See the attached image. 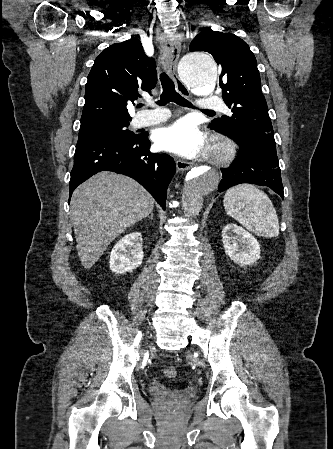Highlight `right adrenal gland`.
I'll return each instance as SVG.
<instances>
[{"label": "right adrenal gland", "instance_id": "1", "mask_svg": "<svg viewBox=\"0 0 333 449\" xmlns=\"http://www.w3.org/2000/svg\"><path fill=\"white\" fill-rule=\"evenodd\" d=\"M151 219H153V212L150 214V216H149Z\"/></svg>", "mask_w": 333, "mask_h": 449}]
</instances>
